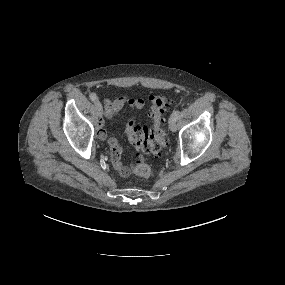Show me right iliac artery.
I'll return each instance as SVG.
<instances>
[{
	"mask_svg": "<svg viewBox=\"0 0 285 285\" xmlns=\"http://www.w3.org/2000/svg\"><path fill=\"white\" fill-rule=\"evenodd\" d=\"M90 99L95 102L98 98H97V95L95 93H91Z\"/></svg>",
	"mask_w": 285,
	"mask_h": 285,
	"instance_id": "82829eb1",
	"label": "right iliac artery"
}]
</instances>
